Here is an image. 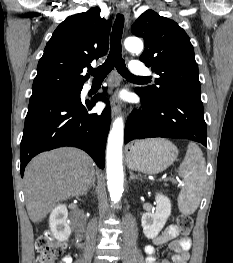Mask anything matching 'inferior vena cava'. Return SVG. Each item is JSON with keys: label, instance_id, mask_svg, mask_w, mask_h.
Masks as SVG:
<instances>
[{"label": "inferior vena cava", "instance_id": "602c4592", "mask_svg": "<svg viewBox=\"0 0 233 263\" xmlns=\"http://www.w3.org/2000/svg\"><path fill=\"white\" fill-rule=\"evenodd\" d=\"M95 263H102L101 261L96 260Z\"/></svg>", "mask_w": 233, "mask_h": 263}]
</instances>
